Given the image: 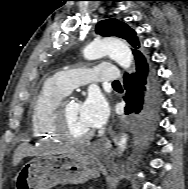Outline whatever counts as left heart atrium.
Wrapping results in <instances>:
<instances>
[{
    "label": "left heart atrium",
    "mask_w": 188,
    "mask_h": 189,
    "mask_svg": "<svg viewBox=\"0 0 188 189\" xmlns=\"http://www.w3.org/2000/svg\"><path fill=\"white\" fill-rule=\"evenodd\" d=\"M81 114L90 129L102 127L108 118L109 108L106 99L99 92L92 90L81 104Z\"/></svg>",
    "instance_id": "39dd6f15"
}]
</instances>
